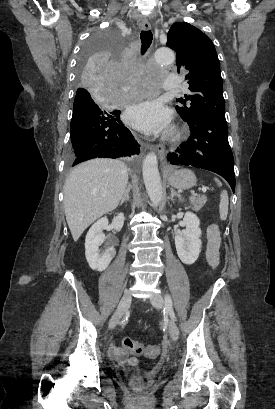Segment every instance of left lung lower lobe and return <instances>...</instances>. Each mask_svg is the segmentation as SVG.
<instances>
[{
  "label": "left lung lower lobe",
  "mask_w": 275,
  "mask_h": 409,
  "mask_svg": "<svg viewBox=\"0 0 275 409\" xmlns=\"http://www.w3.org/2000/svg\"><path fill=\"white\" fill-rule=\"evenodd\" d=\"M190 137L175 153L168 154L173 165L194 166L224 177L235 191L234 158L228 143L226 119L207 116L188 124Z\"/></svg>",
  "instance_id": "1"
}]
</instances>
